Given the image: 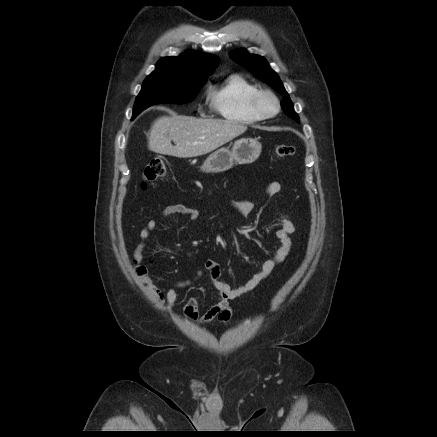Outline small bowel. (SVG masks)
<instances>
[{
    "mask_svg": "<svg viewBox=\"0 0 437 437\" xmlns=\"http://www.w3.org/2000/svg\"><path fill=\"white\" fill-rule=\"evenodd\" d=\"M280 191L281 185L278 182H271L264 188V192L268 196L277 195ZM231 206L244 217L249 216L254 209V203L250 199L232 201ZM175 214L183 215L190 220H196L199 217L198 211L192 207L183 204L166 206L158 218L150 219L140 231V242L135 249V258L138 262L142 260V252L145 248L146 240L157 229L159 219L167 218ZM276 216L280 222V227L275 232L278 240V248L275 253L262 264L260 270L245 284L233 288L221 279L219 263L213 260H207L205 262V269L208 272V281L218 292L217 301L201 314L199 312L198 301L191 298L184 304L183 312L185 316L201 324L211 322L214 319L220 322L228 321L232 316L230 302L253 291L269 276L278 264L285 260L291 249L292 242L290 235L295 232V224L290 216L283 212H278ZM201 276L202 272L199 271L195 279ZM191 282L192 280H182L177 282L175 286L177 288H183L190 285ZM150 290L159 301L165 303L168 311L173 310L178 297L174 288L164 291L152 285Z\"/></svg>",
    "mask_w": 437,
    "mask_h": 437,
    "instance_id": "obj_1",
    "label": "small bowel"
}]
</instances>
